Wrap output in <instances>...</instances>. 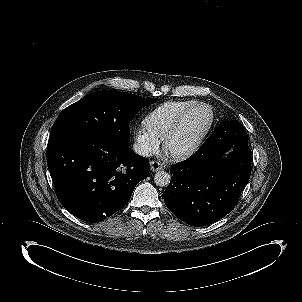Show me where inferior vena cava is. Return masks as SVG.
Returning <instances> with one entry per match:
<instances>
[{
	"label": "inferior vena cava",
	"instance_id": "inferior-vena-cava-1",
	"mask_svg": "<svg viewBox=\"0 0 302 302\" xmlns=\"http://www.w3.org/2000/svg\"><path fill=\"white\" fill-rule=\"evenodd\" d=\"M133 150L135 153L144 156V157H150L152 155V150L148 146L142 144V143H134L133 144Z\"/></svg>",
	"mask_w": 302,
	"mask_h": 302
}]
</instances>
